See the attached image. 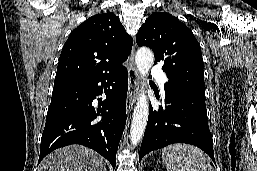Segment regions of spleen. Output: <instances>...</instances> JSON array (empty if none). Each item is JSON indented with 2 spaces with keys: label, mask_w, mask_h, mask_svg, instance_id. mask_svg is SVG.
Returning <instances> with one entry per match:
<instances>
[{
  "label": "spleen",
  "mask_w": 257,
  "mask_h": 171,
  "mask_svg": "<svg viewBox=\"0 0 257 171\" xmlns=\"http://www.w3.org/2000/svg\"><path fill=\"white\" fill-rule=\"evenodd\" d=\"M162 160L167 171H212L206 154L188 144H173L164 148Z\"/></svg>",
  "instance_id": "spleen-1"
}]
</instances>
